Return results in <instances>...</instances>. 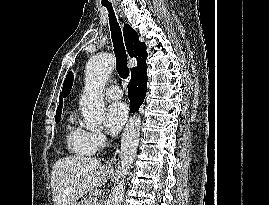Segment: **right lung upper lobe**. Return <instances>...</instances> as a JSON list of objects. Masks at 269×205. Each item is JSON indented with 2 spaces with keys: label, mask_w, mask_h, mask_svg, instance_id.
<instances>
[{
  "label": "right lung upper lobe",
  "mask_w": 269,
  "mask_h": 205,
  "mask_svg": "<svg viewBox=\"0 0 269 205\" xmlns=\"http://www.w3.org/2000/svg\"><path fill=\"white\" fill-rule=\"evenodd\" d=\"M123 34L125 39L126 48L130 57H135L137 59V67L132 68L131 78L140 72H145L147 70V64L145 60L147 58L146 45L144 42L139 41V36L136 31L128 24L123 28ZM62 110V96L59 99V106L56 111V116H61Z\"/></svg>",
  "instance_id": "cb5924a9"
}]
</instances>
